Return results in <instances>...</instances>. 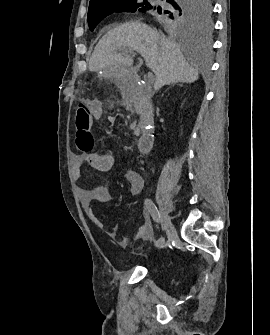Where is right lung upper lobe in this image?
<instances>
[{"mask_svg": "<svg viewBox=\"0 0 270 335\" xmlns=\"http://www.w3.org/2000/svg\"><path fill=\"white\" fill-rule=\"evenodd\" d=\"M114 1L116 0H90L89 7H97Z\"/></svg>", "mask_w": 270, "mask_h": 335, "instance_id": "right-lung-upper-lobe-1", "label": "right lung upper lobe"}]
</instances>
